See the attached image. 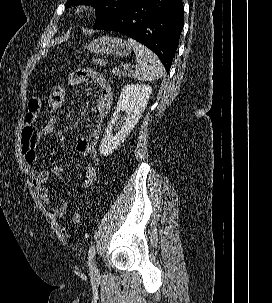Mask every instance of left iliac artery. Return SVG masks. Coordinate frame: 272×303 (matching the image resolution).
<instances>
[{
    "mask_svg": "<svg viewBox=\"0 0 272 303\" xmlns=\"http://www.w3.org/2000/svg\"><path fill=\"white\" fill-rule=\"evenodd\" d=\"M95 255V246L92 245L88 251V262H89V266H91V262H92V259Z\"/></svg>",
    "mask_w": 272,
    "mask_h": 303,
    "instance_id": "obj_1",
    "label": "left iliac artery"
}]
</instances>
